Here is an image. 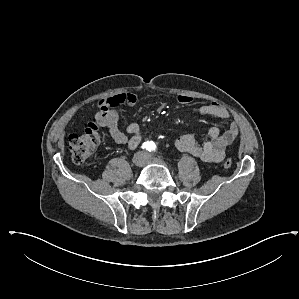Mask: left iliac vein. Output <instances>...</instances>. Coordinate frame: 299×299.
<instances>
[{
	"mask_svg": "<svg viewBox=\"0 0 299 299\" xmlns=\"http://www.w3.org/2000/svg\"><path fill=\"white\" fill-rule=\"evenodd\" d=\"M147 160L150 162H156V163H161V164L163 163L162 160L157 159V158H152L151 156H148Z\"/></svg>",
	"mask_w": 299,
	"mask_h": 299,
	"instance_id": "left-iliac-vein-1",
	"label": "left iliac vein"
}]
</instances>
